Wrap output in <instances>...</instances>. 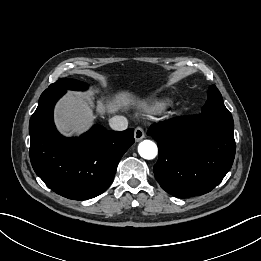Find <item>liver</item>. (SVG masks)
Returning a JSON list of instances; mask_svg holds the SVG:
<instances>
[{
	"mask_svg": "<svg viewBox=\"0 0 261 261\" xmlns=\"http://www.w3.org/2000/svg\"><path fill=\"white\" fill-rule=\"evenodd\" d=\"M134 102L135 100L129 93L120 92L112 99L98 101L97 110L101 114L106 111L114 113ZM54 119L62 134L71 136L83 133L95 119L91 99L80 93L68 92L56 105Z\"/></svg>",
	"mask_w": 261,
	"mask_h": 261,
	"instance_id": "1",
	"label": "liver"
}]
</instances>
